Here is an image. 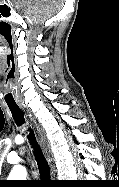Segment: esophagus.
I'll use <instances>...</instances> for the list:
<instances>
[{
  "label": "esophagus",
  "mask_w": 119,
  "mask_h": 187,
  "mask_svg": "<svg viewBox=\"0 0 119 187\" xmlns=\"http://www.w3.org/2000/svg\"><path fill=\"white\" fill-rule=\"evenodd\" d=\"M32 120H33V119H32ZM33 122L35 123L36 127L38 128V126H37V124H36L35 120H33Z\"/></svg>",
  "instance_id": "34e87169"
}]
</instances>
